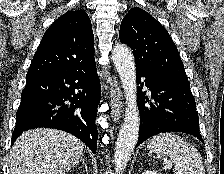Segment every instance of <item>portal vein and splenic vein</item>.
Instances as JSON below:
<instances>
[{"label":"portal vein and splenic vein","mask_w":224,"mask_h":174,"mask_svg":"<svg viewBox=\"0 0 224 174\" xmlns=\"http://www.w3.org/2000/svg\"><path fill=\"white\" fill-rule=\"evenodd\" d=\"M172 168V166L171 165H168V169H171Z\"/></svg>","instance_id":"obj_1"}]
</instances>
